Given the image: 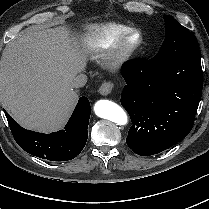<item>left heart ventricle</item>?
Masks as SVG:
<instances>
[{"label": "left heart ventricle", "instance_id": "1", "mask_svg": "<svg viewBox=\"0 0 209 209\" xmlns=\"http://www.w3.org/2000/svg\"><path fill=\"white\" fill-rule=\"evenodd\" d=\"M135 40H136V37H134V38L132 39V42L135 41Z\"/></svg>", "mask_w": 209, "mask_h": 209}]
</instances>
